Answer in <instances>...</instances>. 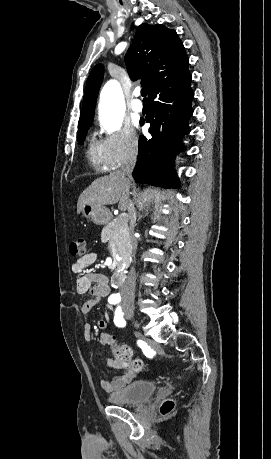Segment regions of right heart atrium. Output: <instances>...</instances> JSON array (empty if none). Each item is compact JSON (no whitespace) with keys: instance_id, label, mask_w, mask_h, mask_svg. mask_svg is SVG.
I'll return each mask as SVG.
<instances>
[{"instance_id":"1","label":"right heart atrium","mask_w":271,"mask_h":459,"mask_svg":"<svg viewBox=\"0 0 271 459\" xmlns=\"http://www.w3.org/2000/svg\"><path fill=\"white\" fill-rule=\"evenodd\" d=\"M98 147L107 168L115 169L126 158H133L139 150V139L130 125L116 128L106 134Z\"/></svg>"}]
</instances>
